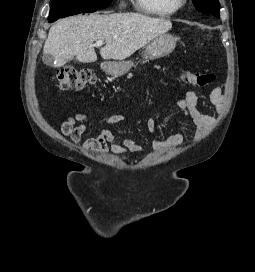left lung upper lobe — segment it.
Returning <instances> with one entry per match:
<instances>
[{"mask_svg": "<svg viewBox=\"0 0 255 272\" xmlns=\"http://www.w3.org/2000/svg\"><path fill=\"white\" fill-rule=\"evenodd\" d=\"M195 8L207 14H212L216 17L219 16V1L218 0H192Z\"/></svg>", "mask_w": 255, "mask_h": 272, "instance_id": "1", "label": "left lung upper lobe"}]
</instances>
